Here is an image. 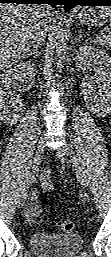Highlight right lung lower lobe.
<instances>
[{
    "label": "right lung lower lobe",
    "instance_id": "1",
    "mask_svg": "<svg viewBox=\"0 0 111 257\" xmlns=\"http://www.w3.org/2000/svg\"><path fill=\"white\" fill-rule=\"evenodd\" d=\"M0 3L48 4L55 7L54 0H0Z\"/></svg>",
    "mask_w": 111,
    "mask_h": 257
}]
</instances>
